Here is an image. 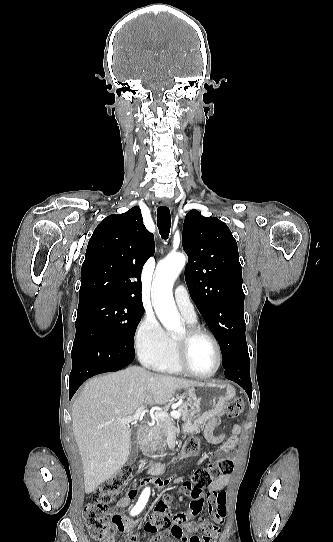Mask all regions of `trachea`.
Returning a JSON list of instances; mask_svg holds the SVG:
<instances>
[{"instance_id": "3493384b", "label": "trachea", "mask_w": 333, "mask_h": 542, "mask_svg": "<svg viewBox=\"0 0 333 542\" xmlns=\"http://www.w3.org/2000/svg\"><path fill=\"white\" fill-rule=\"evenodd\" d=\"M157 222H158L159 232L162 238L168 239L170 226H171V218H170V210L167 206L162 205L161 207H158Z\"/></svg>"}]
</instances>
